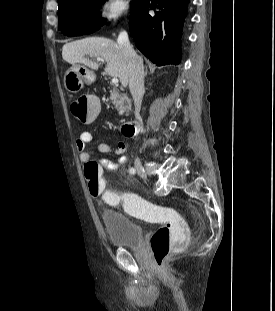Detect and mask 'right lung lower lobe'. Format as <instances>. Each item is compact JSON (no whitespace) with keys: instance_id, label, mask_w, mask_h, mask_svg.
Returning <instances> with one entry per match:
<instances>
[{"instance_id":"98d812e1","label":"right lung lower lobe","mask_w":275,"mask_h":311,"mask_svg":"<svg viewBox=\"0 0 275 311\" xmlns=\"http://www.w3.org/2000/svg\"><path fill=\"white\" fill-rule=\"evenodd\" d=\"M188 3L189 0H158V11L152 16L148 11L153 5L143 0L132 11L129 28L136 46L158 66L180 62V38ZM93 31L92 24H85L78 35Z\"/></svg>"}]
</instances>
